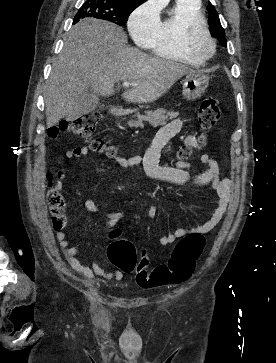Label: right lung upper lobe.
Here are the masks:
<instances>
[{
    "label": "right lung upper lobe",
    "mask_w": 276,
    "mask_h": 363,
    "mask_svg": "<svg viewBox=\"0 0 276 363\" xmlns=\"http://www.w3.org/2000/svg\"><path fill=\"white\" fill-rule=\"evenodd\" d=\"M112 1H119V2H125V3H136L137 5L144 0H112Z\"/></svg>",
    "instance_id": "cb5924a9"
}]
</instances>
